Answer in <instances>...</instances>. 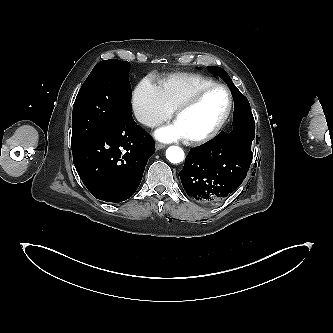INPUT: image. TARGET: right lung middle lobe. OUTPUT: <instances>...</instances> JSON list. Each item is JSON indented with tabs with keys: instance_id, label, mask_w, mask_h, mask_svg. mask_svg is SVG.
I'll return each instance as SVG.
<instances>
[{
	"instance_id": "1",
	"label": "right lung middle lobe",
	"mask_w": 333,
	"mask_h": 333,
	"mask_svg": "<svg viewBox=\"0 0 333 333\" xmlns=\"http://www.w3.org/2000/svg\"><path fill=\"white\" fill-rule=\"evenodd\" d=\"M130 63L99 62L80 88L73 106L71 147H79L131 113Z\"/></svg>"
}]
</instances>
